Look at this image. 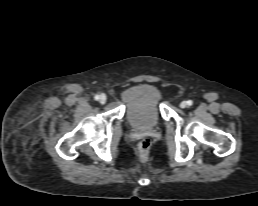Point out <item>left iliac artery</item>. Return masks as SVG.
Returning <instances> with one entry per match:
<instances>
[{"label":"left iliac artery","instance_id":"left-iliac-artery-1","mask_svg":"<svg viewBox=\"0 0 258 206\" xmlns=\"http://www.w3.org/2000/svg\"><path fill=\"white\" fill-rule=\"evenodd\" d=\"M188 105L191 106L193 102L191 100L187 101Z\"/></svg>","mask_w":258,"mask_h":206}]
</instances>
